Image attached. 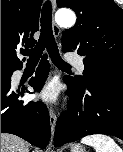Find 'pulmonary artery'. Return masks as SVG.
Segmentation results:
<instances>
[{"label": "pulmonary artery", "mask_w": 123, "mask_h": 152, "mask_svg": "<svg viewBox=\"0 0 123 152\" xmlns=\"http://www.w3.org/2000/svg\"><path fill=\"white\" fill-rule=\"evenodd\" d=\"M66 61L73 63L80 73L84 71V64L79 56L76 55H67Z\"/></svg>", "instance_id": "1"}]
</instances>
